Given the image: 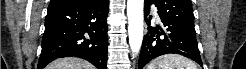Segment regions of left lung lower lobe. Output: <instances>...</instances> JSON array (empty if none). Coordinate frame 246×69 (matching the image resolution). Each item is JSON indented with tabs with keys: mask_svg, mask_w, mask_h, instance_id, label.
<instances>
[{
	"mask_svg": "<svg viewBox=\"0 0 246 69\" xmlns=\"http://www.w3.org/2000/svg\"><path fill=\"white\" fill-rule=\"evenodd\" d=\"M150 0H145V21L150 24ZM162 25L149 27L143 38L138 69L149 63L152 59L164 54L173 53L186 56L202 65L195 28L182 22H175L157 12Z\"/></svg>",
	"mask_w": 246,
	"mask_h": 69,
	"instance_id": "obj_1",
	"label": "left lung lower lobe"
}]
</instances>
